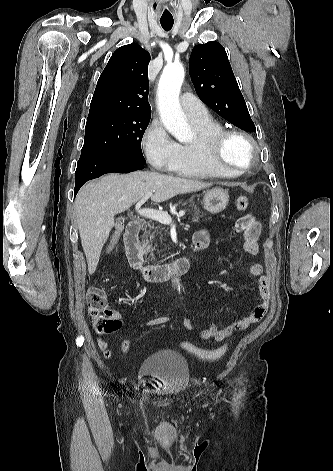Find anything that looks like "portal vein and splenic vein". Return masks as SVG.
Instances as JSON below:
<instances>
[{
    "label": "portal vein and splenic vein",
    "instance_id": "obj_1",
    "mask_svg": "<svg viewBox=\"0 0 333 471\" xmlns=\"http://www.w3.org/2000/svg\"><path fill=\"white\" fill-rule=\"evenodd\" d=\"M153 192H147L145 196L136 204L135 208L138 214L141 216L159 221L162 224L170 225L172 223V218L167 212L163 211H158L154 209H149V208H141V205L149 198L151 197ZM185 215V211L181 210L177 214L178 217H182Z\"/></svg>",
    "mask_w": 333,
    "mask_h": 471
}]
</instances>
